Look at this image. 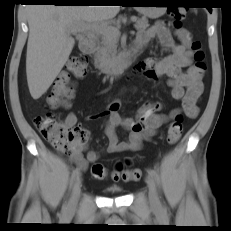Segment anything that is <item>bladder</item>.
I'll use <instances>...</instances> for the list:
<instances>
[{
    "label": "bladder",
    "instance_id": "1",
    "mask_svg": "<svg viewBox=\"0 0 231 231\" xmlns=\"http://www.w3.org/2000/svg\"><path fill=\"white\" fill-rule=\"evenodd\" d=\"M107 192H110V193H120L122 192V188L118 187V186H112V187H108L106 189Z\"/></svg>",
    "mask_w": 231,
    "mask_h": 231
}]
</instances>
